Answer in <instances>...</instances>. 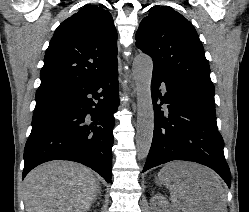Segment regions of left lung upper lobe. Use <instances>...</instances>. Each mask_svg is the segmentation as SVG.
Returning <instances> with one entry per match:
<instances>
[{
  "mask_svg": "<svg viewBox=\"0 0 249 212\" xmlns=\"http://www.w3.org/2000/svg\"><path fill=\"white\" fill-rule=\"evenodd\" d=\"M139 26L136 46L148 54L154 70L214 90L210 67L195 28L169 7L154 6Z\"/></svg>",
  "mask_w": 249,
  "mask_h": 212,
  "instance_id": "1",
  "label": "left lung upper lobe"
}]
</instances>
